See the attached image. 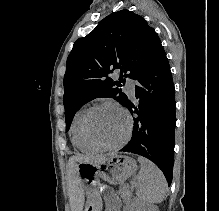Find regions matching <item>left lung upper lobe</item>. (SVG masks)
<instances>
[{
    "label": "left lung upper lobe",
    "mask_w": 219,
    "mask_h": 211,
    "mask_svg": "<svg viewBox=\"0 0 219 211\" xmlns=\"http://www.w3.org/2000/svg\"><path fill=\"white\" fill-rule=\"evenodd\" d=\"M155 30L140 15L127 9L105 17L87 36L79 38L67 58L64 76L66 131L78 109L102 97L124 104L128 96L119 87L123 77L135 79L162 54ZM120 71L119 81L109 74Z\"/></svg>",
    "instance_id": "5c2ea615"
}]
</instances>
